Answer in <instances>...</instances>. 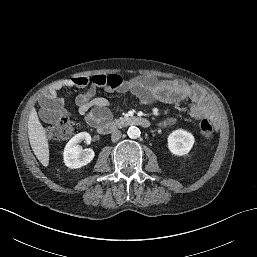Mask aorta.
<instances>
[{
	"instance_id": "aorta-1",
	"label": "aorta",
	"mask_w": 257,
	"mask_h": 257,
	"mask_svg": "<svg viewBox=\"0 0 257 257\" xmlns=\"http://www.w3.org/2000/svg\"><path fill=\"white\" fill-rule=\"evenodd\" d=\"M127 134L130 138L136 139V138L140 137L141 132L138 127L131 126L128 128Z\"/></svg>"
}]
</instances>
